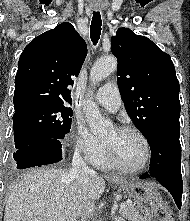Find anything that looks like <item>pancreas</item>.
I'll return each mask as SVG.
<instances>
[{"mask_svg":"<svg viewBox=\"0 0 190 221\" xmlns=\"http://www.w3.org/2000/svg\"><path fill=\"white\" fill-rule=\"evenodd\" d=\"M126 208L121 209L123 217L128 218L129 221H144L143 217L139 215L133 203L126 202Z\"/></svg>","mask_w":190,"mask_h":221,"instance_id":"obj_1","label":"pancreas"}]
</instances>
